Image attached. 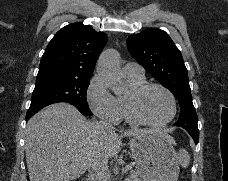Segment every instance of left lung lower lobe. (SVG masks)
Listing matches in <instances>:
<instances>
[{"mask_svg":"<svg viewBox=\"0 0 228 181\" xmlns=\"http://www.w3.org/2000/svg\"><path fill=\"white\" fill-rule=\"evenodd\" d=\"M186 131H187V132L191 135V137L194 139L195 144H197L198 141H199V130H198V129H191V128H188Z\"/></svg>","mask_w":228,"mask_h":181,"instance_id":"0a47b994","label":"left lung lower lobe"}]
</instances>
